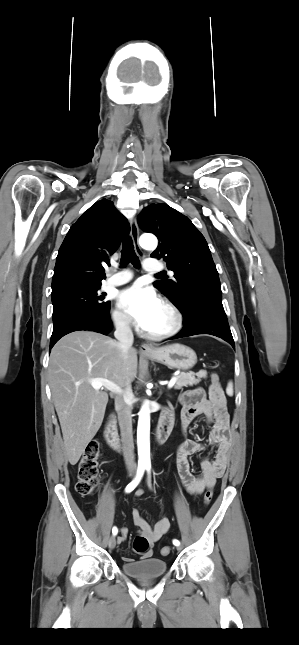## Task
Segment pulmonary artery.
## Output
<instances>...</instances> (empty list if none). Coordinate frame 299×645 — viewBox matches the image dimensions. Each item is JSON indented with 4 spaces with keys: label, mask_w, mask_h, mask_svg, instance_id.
<instances>
[{
    "label": "pulmonary artery",
    "mask_w": 299,
    "mask_h": 645,
    "mask_svg": "<svg viewBox=\"0 0 299 645\" xmlns=\"http://www.w3.org/2000/svg\"><path fill=\"white\" fill-rule=\"evenodd\" d=\"M143 269L147 272H159L164 269V265L154 259H146L143 263ZM132 279V273L128 270H121L110 275L106 281V287H115L123 285Z\"/></svg>",
    "instance_id": "pulmonary-artery-1"
}]
</instances>
